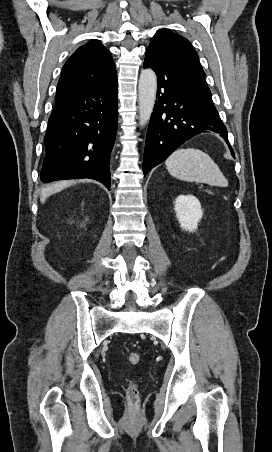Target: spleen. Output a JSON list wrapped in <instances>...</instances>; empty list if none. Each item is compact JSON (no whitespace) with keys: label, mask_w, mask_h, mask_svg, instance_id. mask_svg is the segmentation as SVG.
I'll list each match as a JSON object with an SVG mask.
<instances>
[{"label":"spleen","mask_w":272,"mask_h":452,"mask_svg":"<svg viewBox=\"0 0 272 452\" xmlns=\"http://www.w3.org/2000/svg\"><path fill=\"white\" fill-rule=\"evenodd\" d=\"M169 173L188 182H203L226 187L228 181L212 158L201 150L188 148L174 151L165 162Z\"/></svg>","instance_id":"3e777b00"}]
</instances>
